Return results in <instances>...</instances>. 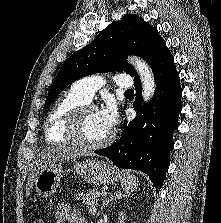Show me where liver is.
Here are the masks:
<instances>
[{"label": "liver", "mask_w": 221, "mask_h": 223, "mask_svg": "<svg viewBox=\"0 0 221 223\" xmlns=\"http://www.w3.org/2000/svg\"><path fill=\"white\" fill-rule=\"evenodd\" d=\"M85 150L79 149L77 147L65 146V145H56L51 146L42 150L35 159L34 173L30 175L26 187V193L29 195V192L33 186L34 181L36 180L39 172L51 166L58 161L74 159L86 155Z\"/></svg>", "instance_id": "6515ba94"}]
</instances>
